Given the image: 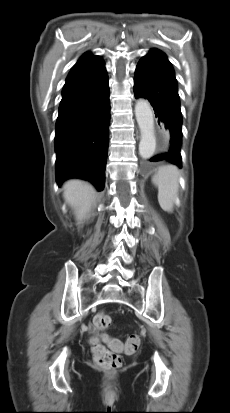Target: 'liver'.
Segmentation results:
<instances>
[{"mask_svg":"<svg viewBox=\"0 0 230 413\" xmlns=\"http://www.w3.org/2000/svg\"><path fill=\"white\" fill-rule=\"evenodd\" d=\"M63 190L64 199L75 210L78 219L84 218L95 203V189L84 181L73 179L64 184Z\"/></svg>","mask_w":230,"mask_h":413,"instance_id":"6515ba94","label":"liver"}]
</instances>
